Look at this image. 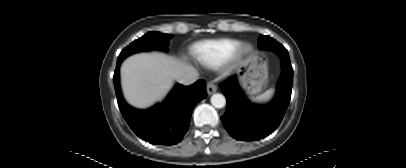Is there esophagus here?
<instances>
[{
	"instance_id": "esophagus-1",
	"label": "esophagus",
	"mask_w": 406,
	"mask_h": 168,
	"mask_svg": "<svg viewBox=\"0 0 406 168\" xmlns=\"http://www.w3.org/2000/svg\"><path fill=\"white\" fill-rule=\"evenodd\" d=\"M206 88H207L208 95H211L217 91V86L213 82H208Z\"/></svg>"
}]
</instances>
